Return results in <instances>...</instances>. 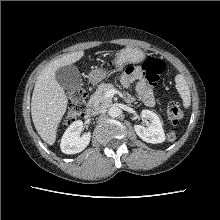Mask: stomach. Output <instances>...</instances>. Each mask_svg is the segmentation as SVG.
Instances as JSON below:
<instances>
[{"label": "stomach", "mask_w": 220, "mask_h": 220, "mask_svg": "<svg viewBox=\"0 0 220 220\" xmlns=\"http://www.w3.org/2000/svg\"><path fill=\"white\" fill-rule=\"evenodd\" d=\"M144 59V53L142 50L138 48H126L121 50L116 54L114 64L116 70H121L124 65L126 64H136L141 62ZM109 75V72L103 69H96L93 70L90 75L89 79L92 83H98L105 77Z\"/></svg>", "instance_id": "stomach-1"}]
</instances>
